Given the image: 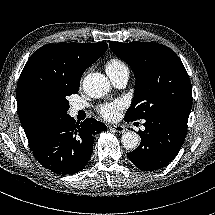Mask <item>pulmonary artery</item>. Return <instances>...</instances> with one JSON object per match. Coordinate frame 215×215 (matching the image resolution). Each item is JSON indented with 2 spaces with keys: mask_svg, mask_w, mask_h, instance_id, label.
Here are the masks:
<instances>
[{
  "mask_svg": "<svg viewBox=\"0 0 215 215\" xmlns=\"http://www.w3.org/2000/svg\"><path fill=\"white\" fill-rule=\"evenodd\" d=\"M113 83L119 87H123L127 84L128 79H129V71H122L121 73H119L118 75H116L115 77L111 78ZM83 107L80 105H73L71 107V112L72 113H77L78 111L82 110Z\"/></svg>",
  "mask_w": 215,
  "mask_h": 215,
  "instance_id": "1",
  "label": "pulmonary artery"
}]
</instances>
